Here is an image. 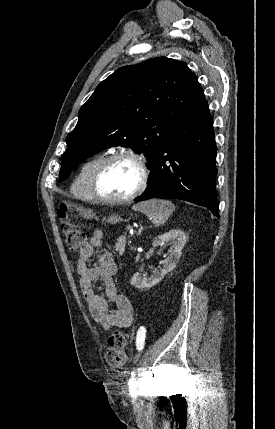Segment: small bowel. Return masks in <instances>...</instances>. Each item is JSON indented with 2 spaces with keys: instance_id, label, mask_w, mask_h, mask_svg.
I'll list each match as a JSON object with an SVG mask.
<instances>
[{
  "instance_id": "1",
  "label": "small bowel",
  "mask_w": 275,
  "mask_h": 429,
  "mask_svg": "<svg viewBox=\"0 0 275 429\" xmlns=\"http://www.w3.org/2000/svg\"><path fill=\"white\" fill-rule=\"evenodd\" d=\"M102 243L103 233L101 230H96L90 240L83 243L79 251L76 268L80 275V288L91 316L104 329L128 328L134 321V309L130 299L117 292L113 279L117 267L112 254L108 250H104L99 256L98 264L94 267L88 266V261L94 255L95 248L101 246ZM98 278L105 285L106 297L94 291L93 281ZM111 303H115L116 309H110Z\"/></svg>"
}]
</instances>
